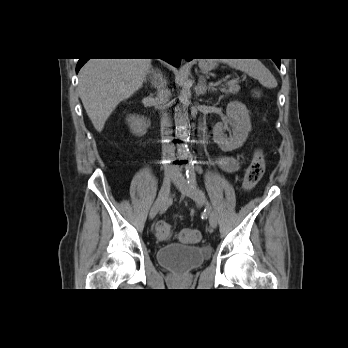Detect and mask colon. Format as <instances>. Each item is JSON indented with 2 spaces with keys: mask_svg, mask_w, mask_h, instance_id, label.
I'll return each instance as SVG.
<instances>
[{
  "mask_svg": "<svg viewBox=\"0 0 348 348\" xmlns=\"http://www.w3.org/2000/svg\"><path fill=\"white\" fill-rule=\"evenodd\" d=\"M266 169L265 155L262 149L257 148L254 151L251 163L246 168L244 174L243 187L247 190L252 189L262 178ZM156 237L160 240H169L172 237L170 224L159 222L155 227ZM178 238L183 243H197L201 239L198 231L184 228L179 231Z\"/></svg>",
  "mask_w": 348,
  "mask_h": 348,
  "instance_id": "5ec220e1",
  "label": "colon"
}]
</instances>
